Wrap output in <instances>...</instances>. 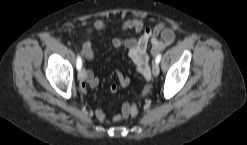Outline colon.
<instances>
[{"label":"colon","mask_w":247,"mask_h":145,"mask_svg":"<svg viewBox=\"0 0 247 145\" xmlns=\"http://www.w3.org/2000/svg\"><path fill=\"white\" fill-rule=\"evenodd\" d=\"M138 113H139V109L136 103H132L131 105H129V107L125 111L126 117L128 116L131 118L137 117Z\"/></svg>","instance_id":"1"}]
</instances>
